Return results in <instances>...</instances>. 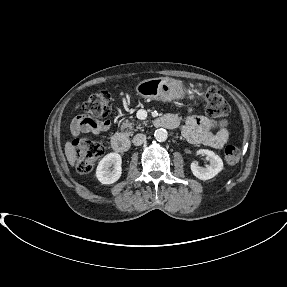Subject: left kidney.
I'll use <instances>...</instances> for the list:
<instances>
[{
  "label": "left kidney",
  "instance_id": "left-kidney-1",
  "mask_svg": "<svg viewBox=\"0 0 287 287\" xmlns=\"http://www.w3.org/2000/svg\"><path fill=\"white\" fill-rule=\"evenodd\" d=\"M197 154L206 155L210 159V165L206 168L198 166L195 162L191 163L193 175L201 180H209L215 177L223 169L222 159L211 150L201 149Z\"/></svg>",
  "mask_w": 287,
  "mask_h": 287
}]
</instances>
